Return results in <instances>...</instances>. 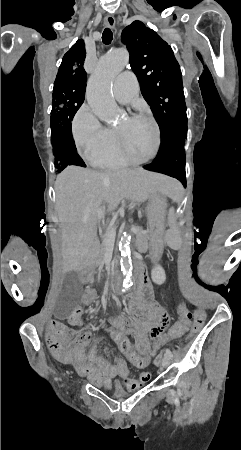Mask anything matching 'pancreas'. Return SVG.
<instances>
[{
  "mask_svg": "<svg viewBox=\"0 0 241 450\" xmlns=\"http://www.w3.org/2000/svg\"><path fill=\"white\" fill-rule=\"evenodd\" d=\"M131 228H130V231H131ZM137 228L138 229L135 232L138 233V234H136V235H138L136 238V246H138V247H136V248H138L139 250H145V251L150 250V245H148V238L146 236V233L142 232L143 231L142 227L137 226ZM131 232H133V231H131ZM106 248H107V240H105V238H104V240L100 246L99 260L97 262V266H99V270H102V268L105 264L104 258H105V254H106Z\"/></svg>",
  "mask_w": 241,
  "mask_h": 450,
  "instance_id": "obj_1",
  "label": "pancreas"
}]
</instances>
